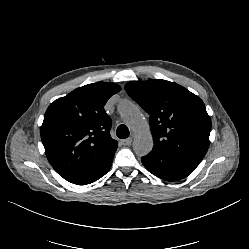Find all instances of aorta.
Listing matches in <instances>:
<instances>
[{
    "label": "aorta",
    "mask_w": 249,
    "mask_h": 249,
    "mask_svg": "<svg viewBox=\"0 0 249 249\" xmlns=\"http://www.w3.org/2000/svg\"><path fill=\"white\" fill-rule=\"evenodd\" d=\"M118 111L134 133L133 149L138 156L149 154L153 148V138L150 127L138 107L131 101L125 100L119 103Z\"/></svg>",
    "instance_id": "1"
}]
</instances>
